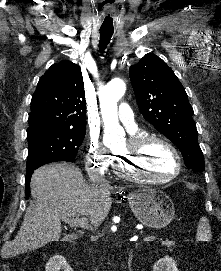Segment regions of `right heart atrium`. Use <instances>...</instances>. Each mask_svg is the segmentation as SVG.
<instances>
[{
    "label": "right heart atrium",
    "mask_w": 221,
    "mask_h": 271,
    "mask_svg": "<svg viewBox=\"0 0 221 271\" xmlns=\"http://www.w3.org/2000/svg\"><path fill=\"white\" fill-rule=\"evenodd\" d=\"M89 165L91 167H96L98 172H104V168L109 166L108 159L112 158L111 154H105L104 151H98V146H89L88 152Z\"/></svg>",
    "instance_id": "right-heart-atrium-1"
}]
</instances>
